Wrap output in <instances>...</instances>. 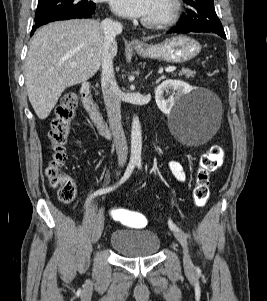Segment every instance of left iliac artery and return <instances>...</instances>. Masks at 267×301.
I'll return each mask as SVG.
<instances>
[{"label":"left iliac artery","instance_id":"obj_1","mask_svg":"<svg viewBox=\"0 0 267 301\" xmlns=\"http://www.w3.org/2000/svg\"><path fill=\"white\" fill-rule=\"evenodd\" d=\"M137 167L140 169L141 168V162L138 161L136 163ZM168 224H169V227L172 229V230H178L179 228L169 219L168 221Z\"/></svg>","mask_w":267,"mask_h":301}]
</instances>
